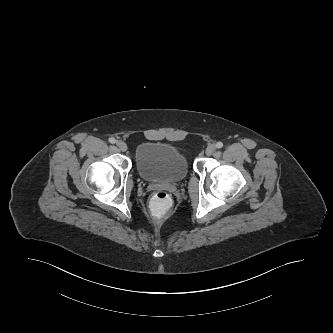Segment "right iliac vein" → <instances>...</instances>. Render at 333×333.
Here are the masks:
<instances>
[{"instance_id": "obj_1", "label": "right iliac vein", "mask_w": 333, "mask_h": 333, "mask_svg": "<svg viewBox=\"0 0 333 333\" xmlns=\"http://www.w3.org/2000/svg\"><path fill=\"white\" fill-rule=\"evenodd\" d=\"M116 146L119 148V150L125 152L127 150V145L123 141H117Z\"/></svg>"}]
</instances>
